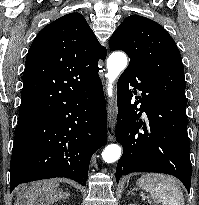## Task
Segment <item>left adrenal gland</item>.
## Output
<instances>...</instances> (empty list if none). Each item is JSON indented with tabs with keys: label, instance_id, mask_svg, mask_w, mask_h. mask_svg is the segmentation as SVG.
<instances>
[{
	"label": "left adrenal gland",
	"instance_id": "1",
	"mask_svg": "<svg viewBox=\"0 0 199 205\" xmlns=\"http://www.w3.org/2000/svg\"><path fill=\"white\" fill-rule=\"evenodd\" d=\"M127 194H128V195H129V194H133V191H129Z\"/></svg>",
	"mask_w": 199,
	"mask_h": 205
}]
</instances>
